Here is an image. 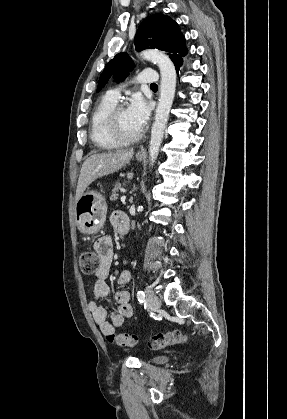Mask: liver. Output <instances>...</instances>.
<instances>
[{"mask_svg":"<svg viewBox=\"0 0 287 419\" xmlns=\"http://www.w3.org/2000/svg\"><path fill=\"white\" fill-rule=\"evenodd\" d=\"M134 156V149H122L114 152L92 154L83 163L75 201L84 194L86 188L98 178L117 172Z\"/></svg>","mask_w":287,"mask_h":419,"instance_id":"1","label":"liver"}]
</instances>
